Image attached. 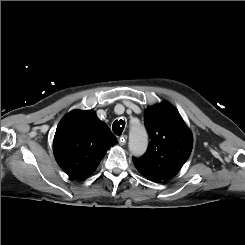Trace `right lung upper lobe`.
I'll use <instances>...</instances> for the list:
<instances>
[{"instance_id":"right-lung-upper-lobe-1","label":"right lung upper lobe","mask_w":245,"mask_h":245,"mask_svg":"<svg viewBox=\"0 0 245 245\" xmlns=\"http://www.w3.org/2000/svg\"><path fill=\"white\" fill-rule=\"evenodd\" d=\"M116 137L94 111L74 110L59 122L53 150L58 165L72 178L91 175Z\"/></svg>"}]
</instances>
